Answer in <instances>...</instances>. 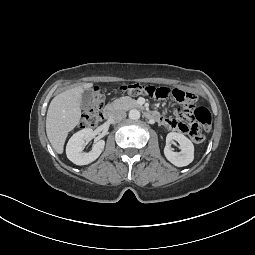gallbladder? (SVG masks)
I'll use <instances>...</instances> for the list:
<instances>
[{
	"instance_id": "obj_1",
	"label": "gallbladder",
	"mask_w": 255,
	"mask_h": 255,
	"mask_svg": "<svg viewBox=\"0 0 255 255\" xmlns=\"http://www.w3.org/2000/svg\"><path fill=\"white\" fill-rule=\"evenodd\" d=\"M92 96V91L90 89H86L82 95H81V106L82 107H87L90 103Z\"/></svg>"
}]
</instances>
